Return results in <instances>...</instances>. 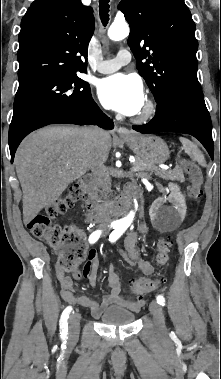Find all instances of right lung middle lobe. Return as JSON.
Returning a JSON list of instances; mask_svg holds the SVG:
<instances>
[{"label": "right lung middle lobe", "mask_w": 221, "mask_h": 379, "mask_svg": "<svg viewBox=\"0 0 221 379\" xmlns=\"http://www.w3.org/2000/svg\"><path fill=\"white\" fill-rule=\"evenodd\" d=\"M91 98L89 84L76 72L43 75L19 82L9 143L45 119L81 106Z\"/></svg>", "instance_id": "dd1d6c3e"}]
</instances>
